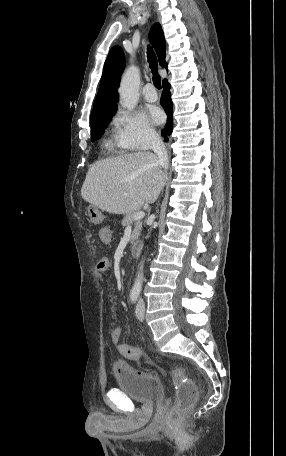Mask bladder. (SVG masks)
<instances>
[{"mask_svg": "<svg viewBox=\"0 0 286 456\" xmlns=\"http://www.w3.org/2000/svg\"><path fill=\"white\" fill-rule=\"evenodd\" d=\"M114 375L117 387L134 401L151 403L164 398V387L160 379L152 374L139 372L126 363H117Z\"/></svg>", "mask_w": 286, "mask_h": 456, "instance_id": "1", "label": "bladder"}]
</instances>
